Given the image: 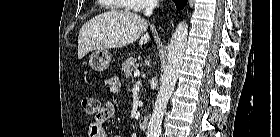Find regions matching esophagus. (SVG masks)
<instances>
[{"label": "esophagus", "mask_w": 280, "mask_h": 137, "mask_svg": "<svg viewBox=\"0 0 280 137\" xmlns=\"http://www.w3.org/2000/svg\"><path fill=\"white\" fill-rule=\"evenodd\" d=\"M175 16H176V14H175V15H174V17L170 20V22H171V23L173 22V20H174Z\"/></svg>", "instance_id": "esophagus-1"}]
</instances>
